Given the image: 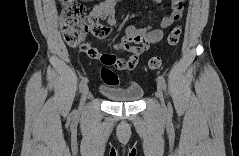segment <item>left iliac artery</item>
I'll return each instance as SVG.
<instances>
[{
	"label": "left iliac artery",
	"instance_id": "left-iliac-artery-1",
	"mask_svg": "<svg viewBox=\"0 0 239 156\" xmlns=\"http://www.w3.org/2000/svg\"><path fill=\"white\" fill-rule=\"evenodd\" d=\"M157 81L160 84V86L165 90L166 89V82L163 76L159 75L157 77Z\"/></svg>",
	"mask_w": 239,
	"mask_h": 156
}]
</instances>
